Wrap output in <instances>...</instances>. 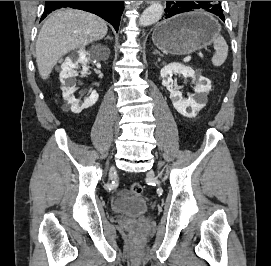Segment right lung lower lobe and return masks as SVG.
Masks as SVG:
<instances>
[{
  "label": "right lung lower lobe",
  "mask_w": 271,
  "mask_h": 266,
  "mask_svg": "<svg viewBox=\"0 0 271 266\" xmlns=\"http://www.w3.org/2000/svg\"><path fill=\"white\" fill-rule=\"evenodd\" d=\"M71 7L94 13L108 21L117 31L120 23V16L123 11V1H46L43 20L47 14L62 8Z\"/></svg>",
  "instance_id": "1"
}]
</instances>
